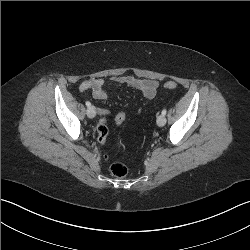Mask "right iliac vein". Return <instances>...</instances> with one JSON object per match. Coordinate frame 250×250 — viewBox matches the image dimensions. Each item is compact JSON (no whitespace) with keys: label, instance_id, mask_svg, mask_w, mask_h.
<instances>
[{"label":"right iliac vein","instance_id":"right-iliac-vein-1","mask_svg":"<svg viewBox=\"0 0 250 250\" xmlns=\"http://www.w3.org/2000/svg\"><path fill=\"white\" fill-rule=\"evenodd\" d=\"M87 116L89 118H94L96 116V110H95L94 106L88 107V109H87Z\"/></svg>","mask_w":250,"mask_h":250}]
</instances>
